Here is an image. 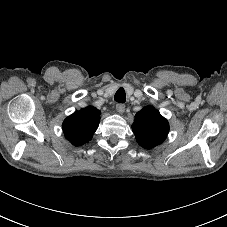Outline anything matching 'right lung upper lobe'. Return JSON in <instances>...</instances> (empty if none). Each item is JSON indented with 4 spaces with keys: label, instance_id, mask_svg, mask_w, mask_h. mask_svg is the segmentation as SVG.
<instances>
[{
    "label": "right lung upper lobe",
    "instance_id": "obj_1",
    "mask_svg": "<svg viewBox=\"0 0 227 227\" xmlns=\"http://www.w3.org/2000/svg\"><path fill=\"white\" fill-rule=\"evenodd\" d=\"M100 111L88 106L80 111H75L63 122L65 137L75 146H80L89 141L98 128Z\"/></svg>",
    "mask_w": 227,
    "mask_h": 227
}]
</instances>
